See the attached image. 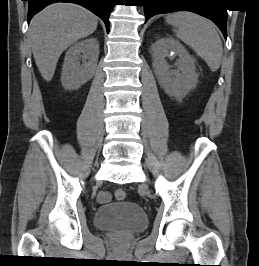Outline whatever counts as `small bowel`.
Wrapping results in <instances>:
<instances>
[{
  "instance_id": "small-bowel-1",
  "label": "small bowel",
  "mask_w": 259,
  "mask_h": 266,
  "mask_svg": "<svg viewBox=\"0 0 259 266\" xmlns=\"http://www.w3.org/2000/svg\"><path fill=\"white\" fill-rule=\"evenodd\" d=\"M97 199L100 203H106L111 200V195L109 192L103 191L98 194Z\"/></svg>"
}]
</instances>
